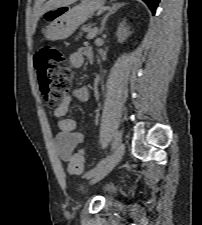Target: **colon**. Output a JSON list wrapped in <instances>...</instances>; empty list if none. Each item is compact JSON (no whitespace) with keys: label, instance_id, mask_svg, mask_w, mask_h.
<instances>
[{"label":"colon","instance_id":"5ec220e1","mask_svg":"<svg viewBox=\"0 0 202 225\" xmlns=\"http://www.w3.org/2000/svg\"><path fill=\"white\" fill-rule=\"evenodd\" d=\"M36 67L44 103L53 113L61 105L65 93L70 89L73 78L72 69L63 54L50 46L38 51ZM79 167L80 162L76 158L71 161L68 168L74 174Z\"/></svg>","mask_w":202,"mask_h":225}]
</instances>
